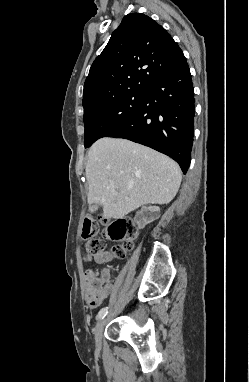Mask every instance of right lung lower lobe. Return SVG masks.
<instances>
[{
	"mask_svg": "<svg viewBox=\"0 0 249 382\" xmlns=\"http://www.w3.org/2000/svg\"><path fill=\"white\" fill-rule=\"evenodd\" d=\"M194 89L187 62L161 76L146 90L141 109L107 137L151 147L188 170L194 134Z\"/></svg>",
	"mask_w": 249,
	"mask_h": 382,
	"instance_id": "obj_1",
	"label": "right lung lower lobe"
}]
</instances>
